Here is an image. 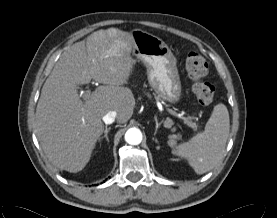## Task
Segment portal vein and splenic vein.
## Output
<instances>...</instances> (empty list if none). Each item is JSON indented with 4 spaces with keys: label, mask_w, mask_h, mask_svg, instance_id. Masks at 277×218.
Returning a JSON list of instances; mask_svg holds the SVG:
<instances>
[{
    "label": "portal vein and splenic vein",
    "mask_w": 277,
    "mask_h": 218,
    "mask_svg": "<svg viewBox=\"0 0 277 218\" xmlns=\"http://www.w3.org/2000/svg\"><path fill=\"white\" fill-rule=\"evenodd\" d=\"M88 93H90V92L88 91L86 94H88ZM167 111H168L171 115H173V116H175V117H177V118H179V119H182V120H184V121L186 120V118L183 117L182 114L177 113V112H175L174 110H172V109H170V108H167ZM166 126H167V127H170L169 124H166ZM172 130H174V129H172Z\"/></svg>",
    "instance_id": "18ae733b"
}]
</instances>
